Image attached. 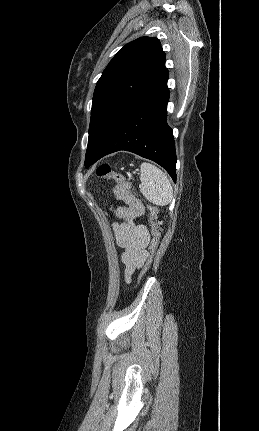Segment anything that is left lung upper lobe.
Masks as SVG:
<instances>
[{
	"label": "left lung upper lobe",
	"mask_w": 259,
	"mask_h": 431,
	"mask_svg": "<svg viewBox=\"0 0 259 431\" xmlns=\"http://www.w3.org/2000/svg\"><path fill=\"white\" fill-rule=\"evenodd\" d=\"M167 75L165 53L157 38H138L117 52L93 94L85 165L121 118Z\"/></svg>",
	"instance_id": "5c2ea615"
}]
</instances>
